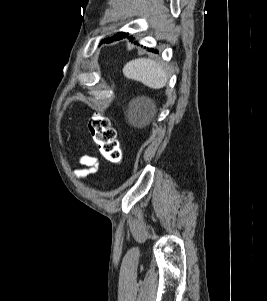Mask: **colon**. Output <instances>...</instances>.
I'll use <instances>...</instances> for the list:
<instances>
[{
	"label": "colon",
	"instance_id": "colon-1",
	"mask_svg": "<svg viewBox=\"0 0 267 301\" xmlns=\"http://www.w3.org/2000/svg\"><path fill=\"white\" fill-rule=\"evenodd\" d=\"M88 129L101 155L109 162H122V149L115 129L103 114H94L89 119Z\"/></svg>",
	"mask_w": 267,
	"mask_h": 301
}]
</instances>
